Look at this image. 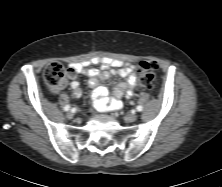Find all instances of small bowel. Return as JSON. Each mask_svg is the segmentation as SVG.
<instances>
[{
    "mask_svg": "<svg viewBox=\"0 0 222 187\" xmlns=\"http://www.w3.org/2000/svg\"><path fill=\"white\" fill-rule=\"evenodd\" d=\"M91 65H101V69ZM78 74L86 75L88 84L92 88V99L94 106L99 110H119L123 103L122 98L130 99L134 94L138 73L135 67L127 62L108 57H93L89 60L69 65L68 76L71 80V96L78 98L82 95V89L76 80ZM111 74L125 79L112 90L102 86L100 83L107 80Z\"/></svg>",
    "mask_w": 222,
    "mask_h": 187,
    "instance_id": "small-bowel-1",
    "label": "small bowel"
}]
</instances>
